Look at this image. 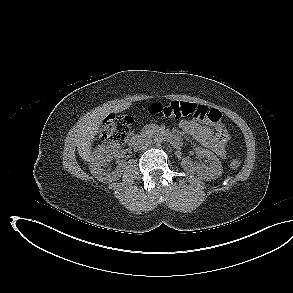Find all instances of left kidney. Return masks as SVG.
<instances>
[{"label":"left kidney","instance_id":"left-kidney-1","mask_svg":"<svg viewBox=\"0 0 293 293\" xmlns=\"http://www.w3.org/2000/svg\"><path fill=\"white\" fill-rule=\"evenodd\" d=\"M195 152L203 157H206L209 162V166L205 164L194 165L190 158L185 157L182 159V167L190 173L196 172L201 180H213L222 175L223 167L219 158L208 149L196 148Z\"/></svg>","mask_w":293,"mask_h":293}]
</instances>
